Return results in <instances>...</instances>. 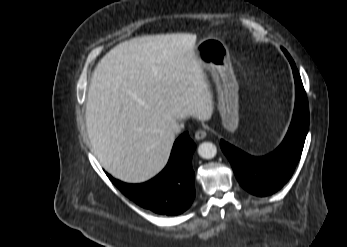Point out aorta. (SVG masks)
Here are the masks:
<instances>
[{
	"mask_svg": "<svg viewBox=\"0 0 347 247\" xmlns=\"http://www.w3.org/2000/svg\"><path fill=\"white\" fill-rule=\"evenodd\" d=\"M198 154L203 159H212L217 154V148L211 142H203L198 147Z\"/></svg>",
	"mask_w": 347,
	"mask_h": 247,
	"instance_id": "obj_1",
	"label": "aorta"
}]
</instances>
